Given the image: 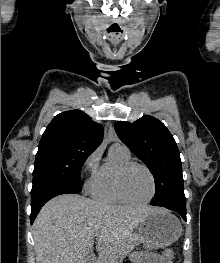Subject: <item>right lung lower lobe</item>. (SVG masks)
Here are the masks:
<instances>
[{"instance_id":"obj_1","label":"right lung lower lobe","mask_w":220,"mask_h":263,"mask_svg":"<svg viewBox=\"0 0 220 263\" xmlns=\"http://www.w3.org/2000/svg\"><path fill=\"white\" fill-rule=\"evenodd\" d=\"M81 186L62 182H44L32 187L31 191V224L34 222L41 207L51 198L67 193H79Z\"/></svg>"}]
</instances>
